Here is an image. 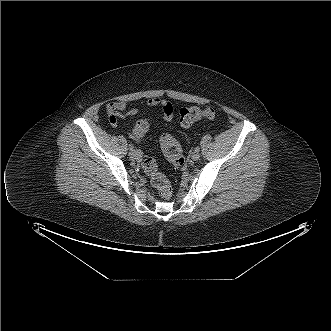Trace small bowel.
<instances>
[{
	"instance_id": "small-bowel-1",
	"label": "small bowel",
	"mask_w": 331,
	"mask_h": 331,
	"mask_svg": "<svg viewBox=\"0 0 331 331\" xmlns=\"http://www.w3.org/2000/svg\"><path fill=\"white\" fill-rule=\"evenodd\" d=\"M146 104L149 107L160 108L165 121L172 122L175 120V107L171 102L163 98L154 97L148 99ZM106 112L111 125L116 126L120 119L134 116L137 113V108L128 106L122 101H115L106 105ZM131 137L137 141L141 140V137L136 136L134 132L131 133Z\"/></svg>"
}]
</instances>
